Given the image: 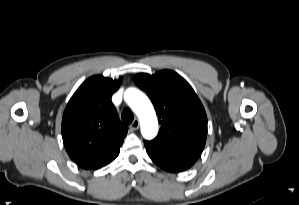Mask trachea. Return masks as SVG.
I'll return each instance as SVG.
<instances>
[{
    "mask_svg": "<svg viewBox=\"0 0 299 205\" xmlns=\"http://www.w3.org/2000/svg\"><path fill=\"white\" fill-rule=\"evenodd\" d=\"M121 118L124 124H130L134 119V115L129 108H125L122 111Z\"/></svg>",
    "mask_w": 299,
    "mask_h": 205,
    "instance_id": "trachea-1",
    "label": "trachea"
}]
</instances>
